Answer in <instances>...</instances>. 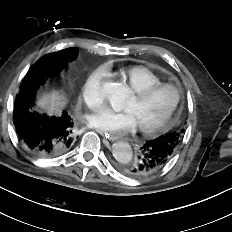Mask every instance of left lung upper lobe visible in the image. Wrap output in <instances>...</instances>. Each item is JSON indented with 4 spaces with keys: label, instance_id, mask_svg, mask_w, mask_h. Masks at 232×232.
<instances>
[{
    "label": "left lung upper lobe",
    "instance_id": "5c2ea615",
    "mask_svg": "<svg viewBox=\"0 0 232 232\" xmlns=\"http://www.w3.org/2000/svg\"><path fill=\"white\" fill-rule=\"evenodd\" d=\"M182 133H183V130L181 131L174 130L164 135H161L160 137L156 138V140L168 146L172 150L173 155H174V153L176 152L177 148L179 147L181 143Z\"/></svg>",
    "mask_w": 232,
    "mask_h": 232
}]
</instances>
